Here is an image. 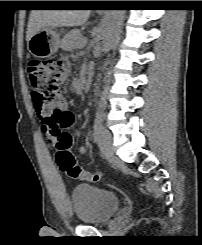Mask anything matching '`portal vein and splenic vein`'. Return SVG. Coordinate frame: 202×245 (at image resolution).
Segmentation results:
<instances>
[{
  "label": "portal vein and splenic vein",
  "instance_id": "portal-vein-and-splenic-vein-1",
  "mask_svg": "<svg viewBox=\"0 0 202 245\" xmlns=\"http://www.w3.org/2000/svg\"><path fill=\"white\" fill-rule=\"evenodd\" d=\"M82 43H83V44H86V43H87V39L84 38V39L82 40Z\"/></svg>",
  "mask_w": 202,
  "mask_h": 245
}]
</instances>
